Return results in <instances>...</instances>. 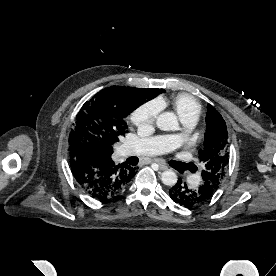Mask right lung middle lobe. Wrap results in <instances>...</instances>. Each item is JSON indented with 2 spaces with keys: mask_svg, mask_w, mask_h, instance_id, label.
Segmentation results:
<instances>
[{
  "mask_svg": "<svg viewBox=\"0 0 276 276\" xmlns=\"http://www.w3.org/2000/svg\"><path fill=\"white\" fill-rule=\"evenodd\" d=\"M165 92V90L163 91ZM157 95L149 89L108 87L86 101L69 136L70 154L89 150L98 157L113 152V144L128 131L124 118Z\"/></svg>",
  "mask_w": 276,
  "mask_h": 276,
  "instance_id": "1",
  "label": "right lung middle lobe"
}]
</instances>
